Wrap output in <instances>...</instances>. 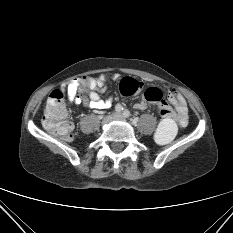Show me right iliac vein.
<instances>
[{
  "label": "right iliac vein",
  "instance_id": "obj_1",
  "mask_svg": "<svg viewBox=\"0 0 233 233\" xmlns=\"http://www.w3.org/2000/svg\"><path fill=\"white\" fill-rule=\"evenodd\" d=\"M117 114H112V115H109V116H106L103 121H102V124L103 125H106L108 124L109 122H111L112 120H114L116 118Z\"/></svg>",
  "mask_w": 233,
  "mask_h": 233
}]
</instances>
